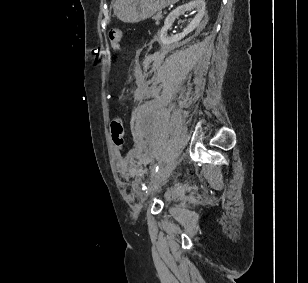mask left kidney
Listing matches in <instances>:
<instances>
[{
  "label": "left kidney",
  "mask_w": 308,
  "mask_h": 283,
  "mask_svg": "<svg viewBox=\"0 0 308 283\" xmlns=\"http://www.w3.org/2000/svg\"><path fill=\"white\" fill-rule=\"evenodd\" d=\"M194 8L197 10V14L192 19V21L189 23L187 28L184 29V31L180 34H177L174 36L173 35L168 36L167 31L172 26L175 19L178 18L180 15L184 14L185 12L190 11ZM204 15H205V1L204 0H193L187 4L179 6L174 11H172L165 19L164 26L159 32L160 42L163 45H170V44L180 41L188 33L192 32L194 29H196L199 26Z\"/></svg>",
  "instance_id": "obj_1"
}]
</instances>
